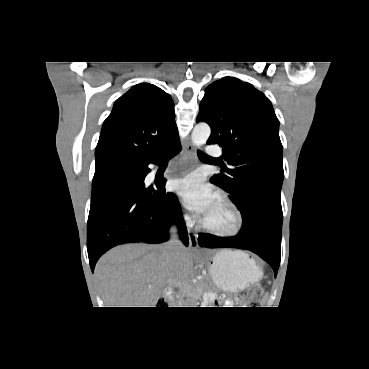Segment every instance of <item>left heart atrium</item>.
Masks as SVG:
<instances>
[{"label": "left heart atrium", "mask_w": 369, "mask_h": 369, "mask_svg": "<svg viewBox=\"0 0 369 369\" xmlns=\"http://www.w3.org/2000/svg\"><path fill=\"white\" fill-rule=\"evenodd\" d=\"M175 188L185 206L201 215H204L217 200L216 193L210 186L203 184L197 174L179 179Z\"/></svg>", "instance_id": "39dd6f15"}]
</instances>
